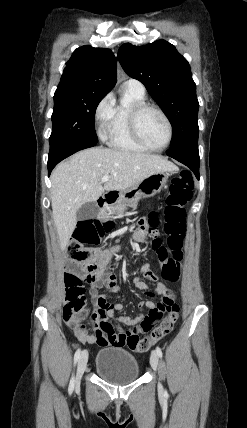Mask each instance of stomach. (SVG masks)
Instances as JSON below:
<instances>
[{
  "label": "stomach",
  "mask_w": 247,
  "mask_h": 428,
  "mask_svg": "<svg viewBox=\"0 0 247 428\" xmlns=\"http://www.w3.org/2000/svg\"><path fill=\"white\" fill-rule=\"evenodd\" d=\"M172 171L153 174L136 186L120 192V198L127 205L136 204L142 197H151L158 194L167 186L168 177Z\"/></svg>",
  "instance_id": "0dacf381"
}]
</instances>
